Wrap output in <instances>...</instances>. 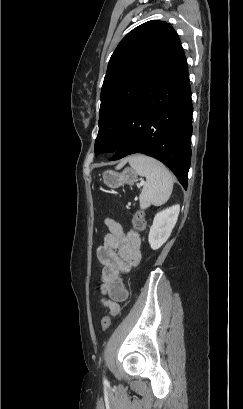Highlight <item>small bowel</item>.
<instances>
[{
	"instance_id": "c3829d8e",
	"label": "small bowel",
	"mask_w": 243,
	"mask_h": 409,
	"mask_svg": "<svg viewBox=\"0 0 243 409\" xmlns=\"http://www.w3.org/2000/svg\"><path fill=\"white\" fill-rule=\"evenodd\" d=\"M109 232L98 247L97 255L102 268L101 293L107 298L102 304L119 311V303L128 297L121 274H126L141 260L140 235L137 232L125 233L122 225L114 219H106Z\"/></svg>"
}]
</instances>
